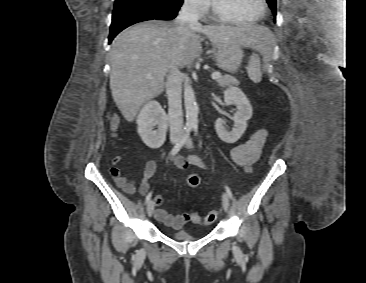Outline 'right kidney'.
Instances as JSON below:
<instances>
[{
    "label": "right kidney",
    "instance_id": "right-kidney-1",
    "mask_svg": "<svg viewBox=\"0 0 366 283\" xmlns=\"http://www.w3.org/2000/svg\"><path fill=\"white\" fill-rule=\"evenodd\" d=\"M138 134L151 149L161 147L166 140L168 117L157 101L147 102L137 116ZM157 126V130H153Z\"/></svg>",
    "mask_w": 366,
    "mask_h": 283
}]
</instances>
